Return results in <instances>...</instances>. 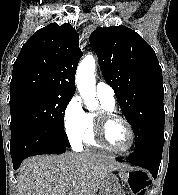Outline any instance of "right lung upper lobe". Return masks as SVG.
<instances>
[{"label": "right lung upper lobe", "mask_w": 178, "mask_h": 195, "mask_svg": "<svg viewBox=\"0 0 178 195\" xmlns=\"http://www.w3.org/2000/svg\"><path fill=\"white\" fill-rule=\"evenodd\" d=\"M81 56L79 34L70 24L51 23L38 30L14 63L10 96L30 91L73 96Z\"/></svg>", "instance_id": "cb5924a9"}]
</instances>
